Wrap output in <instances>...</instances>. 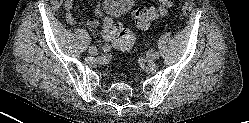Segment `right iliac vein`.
Wrapping results in <instances>:
<instances>
[{"label":"right iliac vein","instance_id":"obj_1","mask_svg":"<svg viewBox=\"0 0 249 123\" xmlns=\"http://www.w3.org/2000/svg\"><path fill=\"white\" fill-rule=\"evenodd\" d=\"M89 53H90L91 55H96V54H97V48L94 47V46H90V47H89Z\"/></svg>","mask_w":249,"mask_h":123}]
</instances>
